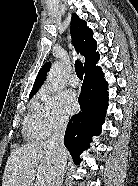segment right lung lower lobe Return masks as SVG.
Masks as SVG:
<instances>
[{
  "label": "right lung lower lobe",
  "mask_w": 138,
  "mask_h": 186,
  "mask_svg": "<svg viewBox=\"0 0 138 186\" xmlns=\"http://www.w3.org/2000/svg\"><path fill=\"white\" fill-rule=\"evenodd\" d=\"M108 83L104 75H85L78 102L81 111L68 123L64 145L73 161L80 164L79 155L89 146L92 136L102 130L108 104Z\"/></svg>",
  "instance_id": "obj_1"
}]
</instances>
